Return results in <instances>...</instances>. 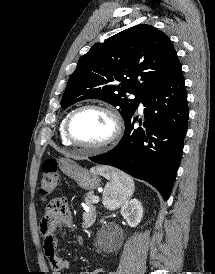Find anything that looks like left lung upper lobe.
Listing matches in <instances>:
<instances>
[{
  "mask_svg": "<svg viewBox=\"0 0 215 274\" xmlns=\"http://www.w3.org/2000/svg\"><path fill=\"white\" fill-rule=\"evenodd\" d=\"M180 68L165 33L146 24L136 25L94 44L79 59L63 94L62 107L99 99L119 106L125 121L149 89L164 83ZM127 94L136 97L128 99Z\"/></svg>",
  "mask_w": 215,
  "mask_h": 274,
  "instance_id": "1",
  "label": "left lung upper lobe"
}]
</instances>
